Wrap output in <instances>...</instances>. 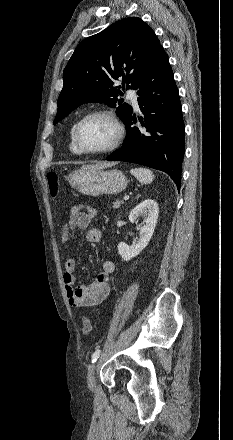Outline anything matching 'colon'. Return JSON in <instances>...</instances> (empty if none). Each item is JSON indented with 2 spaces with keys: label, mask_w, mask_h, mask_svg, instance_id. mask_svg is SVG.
Returning <instances> with one entry per match:
<instances>
[{
  "label": "colon",
  "mask_w": 233,
  "mask_h": 440,
  "mask_svg": "<svg viewBox=\"0 0 233 440\" xmlns=\"http://www.w3.org/2000/svg\"><path fill=\"white\" fill-rule=\"evenodd\" d=\"M48 190L51 197H57L59 193L60 177L55 172H49L47 175ZM92 330V322L88 317L82 319V331L89 334Z\"/></svg>",
  "instance_id": "obj_1"
}]
</instances>
